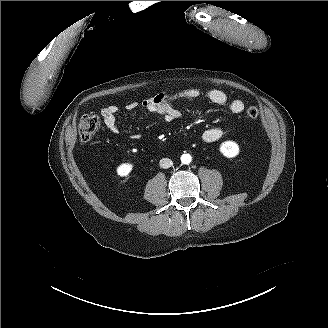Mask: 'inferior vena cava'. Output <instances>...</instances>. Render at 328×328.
<instances>
[{
    "mask_svg": "<svg viewBox=\"0 0 328 328\" xmlns=\"http://www.w3.org/2000/svg\"><path fill=\"white\" fill-rule=\"evenodd\" d=\"M159 164H160L161 168L167 169V168H170L172 166L173 162L169 158H163V159L160 160Z\"/></svg>",
    "mask_w": 328,
    "mask_h": 328,
    "instance_id": "inferior-vena-cava-1",
    "label": "inferior vena cava"
}]
</instances>
